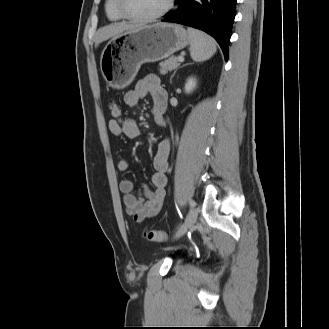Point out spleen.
Instances as JSON below:
<instances>
[{"label": "spleen", "mask_w": 329, "mask_h": 329, "mask_svg": "<svg viewBox=\"0 0 329 329\" xmlns=\"http://www.w3.org/2000/svg\"><path fill=\"white\" fill-rule=\"evenodd\" d=\"M190 55L196 62L210 59L217 51L215 40L197 29L188 28Z\"/></svg>", "instance_id": "spleen-1"}]
</instances>
